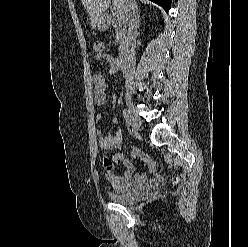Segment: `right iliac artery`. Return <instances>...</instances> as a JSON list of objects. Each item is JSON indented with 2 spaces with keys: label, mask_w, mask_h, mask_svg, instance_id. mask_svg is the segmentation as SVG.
I'll return each mask as SVG.
<instances>
[{
  "label": "right iliac artery",
  "mask_w": 248,
  "mask_h": 247,
  "mask_svg": "<svg viewBox=\"0 0 248 247\" xmlns=\"http://www.w3.org/2000/svg\"><path fill=\"white\" fill-rule=\"evenodd\" d=\"M123 117L125 119L128 130H130L131 119H130V115H129V112L127 111V109H123Z\"/></svg>",
  "instance_id": "right-iliac-artery-1"
}]
</instances>
